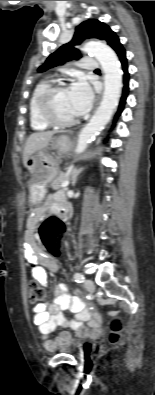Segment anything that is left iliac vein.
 Here are the masks:
<instances>
[{"label": "left iliac vein", "mask_w": 155, "mask_h": 395, "mask_svg": "<svg viewBox=\"0 0 155 395\" xmlns=\"http://www.w3.org/2000/svg\"><path fill=\"white\" fill-rule=\"evenodd\" d=\"M84 286H85V288H86L89 292H91V293H93L94 290H95L94 282H93L91 279H86V280L84 281Z\"/></svg>", "instance_id": "4c4485c4"}]
</instances>
